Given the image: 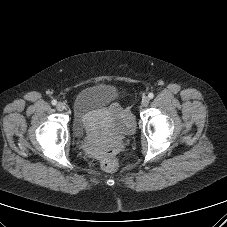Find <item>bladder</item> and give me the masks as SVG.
Returning <instances> with one entry per match:
<instances>
[{"label":"bladder","mask_w":227,"mask_h":227,"mask_svg":"<svg viewBox=\"0 0 227 227\" xmlns=\"http://www.w3.org/2000/svg\"><path fill=\"white\" fill-rule=\"evenodd\" d=\"M119 98L118 91L107 84L82 89L74 99L72 130L76 137L89 133L104 118L107 108Z\"/></svg>","instance_id":"bladder-1"}]
</instances>
